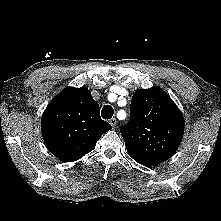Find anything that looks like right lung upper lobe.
Segmentation results:
<instances>
[{"mask_svg":"<svg viewBox=\"0 0 221 221\" xmlns=\"http://www.w3.org/2000/svg\"><path fill=\"white\" fill-rule=\"evenodd\" d=\"M41 128L50 152L61 161L73 162L92 151L112 127L101 119L88 89L68 87L45 109Z\"/></svg>","mask_w":221,"mask_h":221,"instance_id":"1","label":"right lung upper lobe"}]
</instances>
